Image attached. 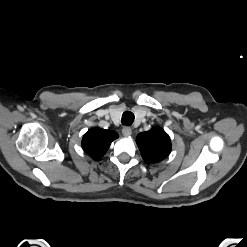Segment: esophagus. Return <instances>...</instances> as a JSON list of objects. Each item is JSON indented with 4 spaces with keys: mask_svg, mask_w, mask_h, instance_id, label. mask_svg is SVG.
Here are the masks:
<instances>
[{
    "mask_svg": "<svg viewBox=\"0 0 247 247\" xmlns=\"http://www.w3.org/2000/svg\"><path fill=\"white\" fill-rule=\"evenodd\" d=\"M122 134L124 136H130L132 134V129L128 126L123 127Z\"/></svg>",
    "mask_w": 247,
    "mask_h": 247,
    "instance_id": "obj_1",
    "label": "esophagus"
}]
</instances>
